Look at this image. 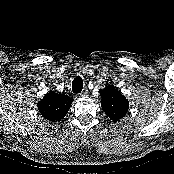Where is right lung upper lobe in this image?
I'll return each instance as SVG.
<instances>
[{"label":"right lung upper lobe","mask_w":174,"mask_h":174,"mask_svg":"<svg viewBox=\"0 0 174 174\" xmlns=\"http://www.w3.org/2000/svg\"><path fill=\"white\" fill-rule=\"evenodd\" d=\"M72 101L73 99L67 95L50 91L38 102L37 107L42 117L51 122H56L65 117Z\"/></svg>","instance_id":"1"}]
</instances>
